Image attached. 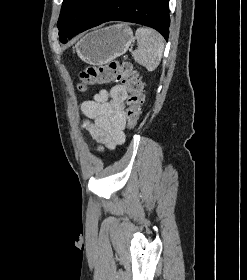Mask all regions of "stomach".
I'll use <instances>...</instances> for the list:
<instances>
[{
    "mask_svg": "<svg viewBox=\"0 0 247 280\" xmlns=\"http://www.w3.org/2000/svg\"><path fill=\"white\" fill-rule=\"evenodd\" d=\"M133 40V32L128 25L116 24L84 35L75 48L84 62L102 65L126 53Z\"/></svg>",
    "mask_w": 247,
    "mask_h": 280,
    "instance_id": "0dacf381",
    "label": "stomach"
}]
</instances>
